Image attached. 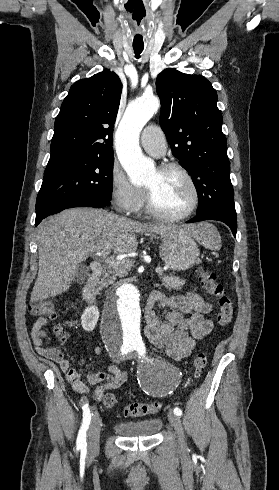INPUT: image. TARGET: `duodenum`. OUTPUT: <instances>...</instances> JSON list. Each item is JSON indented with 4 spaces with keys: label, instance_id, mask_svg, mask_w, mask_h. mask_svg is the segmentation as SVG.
Masks as SVG:
<instances>
[{
    "label": "duodenum",
    "instance_id": "duodenum-1",
    "mask_svg": "<svg viewBox=\"0 0 279 490\" xmlns=\"http://www.w3.org/2000/svg\"><path fill=\"white\" fill-rule=\"evenodd\" d=\"M104 272V266L98 261L91 263V274L83 287V298L88 304H94L97 296V282Z\"/></svg>",
    "mask_w": 279,
    "mask_h": 490
}]
</instances>
